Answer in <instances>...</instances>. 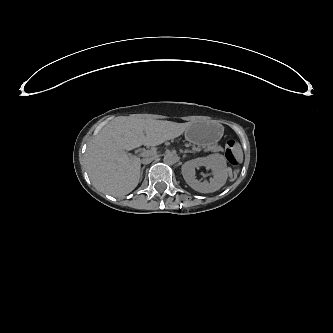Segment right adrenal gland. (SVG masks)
Returning <instances> with one entry per match:
<instances>
[{"mask_svg": "<svg viewBox=\"0 0 333 333\" xmlns=\"http://www.w3.org/2000/svg\"><path fill=\"white\" fill-rule=\"evenodd\" d=\"M144 167L141 169L140 178L142 179Z\"/></svg>", "mask_w": 333, "mask_h": 333, "instance_id": "2a0ac1e0", "label": "right adrenal gland"}]
</instances>
